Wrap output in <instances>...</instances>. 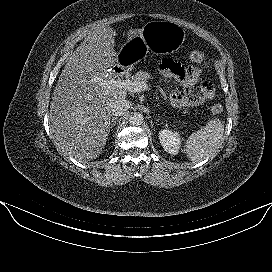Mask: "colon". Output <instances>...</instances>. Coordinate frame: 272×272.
<instances>
[{"label": "colon", "mask_w": 272, "mask_h": 272, "mask_svg": "<svg viewBox=\"0 0 272 272\" xmlns=\"http://www.w3.org/2000/svg\"><path fill=\"white\" fill-rule=\"evenodd\" d=\"M190 60L197 64V65H201L204 62V55L201 51H193L190 54ZM223 110L222 106L219 104H214L211 108L210 111L213 114H219L221 113Z\"/></svg>", "instance_id": "colon-1"}]
</instances>
